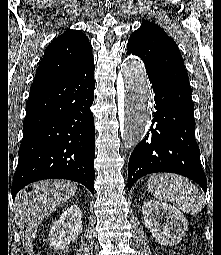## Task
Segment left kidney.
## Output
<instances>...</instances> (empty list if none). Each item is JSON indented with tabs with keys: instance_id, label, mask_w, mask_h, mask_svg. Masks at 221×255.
Here are the masks:
<instances>
[{
	"instance_id": "obj_1",
	"label": "left kidney",
	"mask_w": 221,
	"mask_h": 255,
	"mask_svg": "<svg viewBox=\"0 0 221 255\" xmlns=\"http://www.w3.org/2000/svg\"><path fill=\"white\" fill-rule=\"evenodd\" d=\"M145 226L152 236L165 246L178 244L187 230V220L174 206L158 200H149L142 206ZM164 222L159 221L163 219Z\"/></svg>"
}]
</instances>
